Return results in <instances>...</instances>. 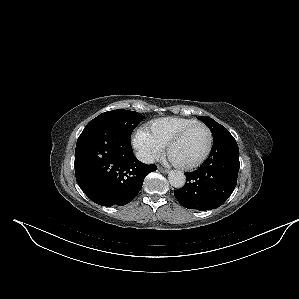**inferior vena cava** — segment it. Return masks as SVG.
Instances as JSON below:
<instances>
[{
    "instance_id": "obj_1",
    "label": "inferior vena cava",
    "mask_w": 299,
    "mask_h": 299,
    "mask_svg": "<svg viewBox=\"0 0 299 299\" xmlns=\"http://www.w3.org/2000/svg\"><path fill=\"white\" fill-rule=\"evenodd\" d=\"M137 158L146 164H152L155 161L152 155L145 154V153H137Z\"/></svg>"
}]
</instances>
